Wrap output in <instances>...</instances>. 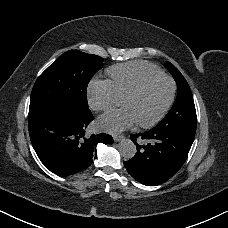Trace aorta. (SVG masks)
Listing matches in <instances>:
<instances>
[{"label": "aorta", "instance_id": "1", "mask_svg": "<svg viewBox=\"0 0 228 228\" xmlns=\"http://www.w3.org/2000/svg\"><path fill=\"white\" fill-rule=\"evenodd\" d=\"M119 152L124 159H131L136 154V146L130 139H123L119 143Z\"/></svg>", "mask_w": 228, "mask_h": 228}]
</instances>
